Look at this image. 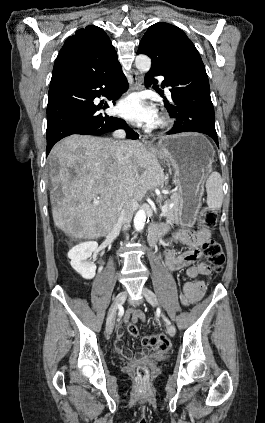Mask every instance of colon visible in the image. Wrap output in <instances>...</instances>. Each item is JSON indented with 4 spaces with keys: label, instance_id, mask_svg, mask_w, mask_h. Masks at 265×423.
Returning <instances> with one entry per match:
<instances>
[{
    "label": "colon",
    "instance_id": "5ec220e1",
    "mask_svg": "<svg viewBox=\"0 0 265 423\" xmlns=\"http://www.w3.org/2000/svg\"><path fill=\"white\" fill-rule=\"evenodd\" d=\"M216 221L217 215L213 210L204 208L201 211V224L203 227L213 228L216 225ZM202 250L206 261L213 266V269L216 272L221 271L225 262V255L221 244L213 239H209L203 243ZM128 331L134 337H140L136 325L129 324ZM142 343L149 349V353L152 356H161L170 348V341L164 334L144 336L142 337ZM147 377L148 370L144 366L138 367L137 378L140 381H144Z\"/></svg>",
    "mask_w": 265,
    "mask_h": 423
}]
</instances>
